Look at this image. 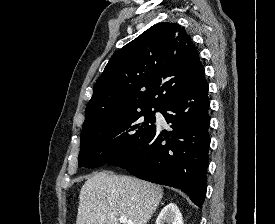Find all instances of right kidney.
I'll return each instance as SVG.
<instances>
[{"instance_id": "1", "label": "right kidney", "mask_w": 275, "mask_h": 224, "mask_svg": "<svg viewBox=\"0 0 275 224\" xmlns=\"http://www.w3.org/2000/svg\"><path fill=\"white\" fill-rule=\"evenodd\" d=\"M156 224H183L182 214L174 203L166 205L158 215Z\"/></svg>"}]
</instances>
